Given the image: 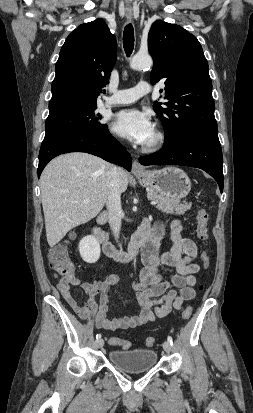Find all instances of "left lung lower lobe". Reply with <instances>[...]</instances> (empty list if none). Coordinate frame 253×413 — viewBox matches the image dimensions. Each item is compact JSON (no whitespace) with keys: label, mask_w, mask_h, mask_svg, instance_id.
Returning <instances> with one entry per match:
<instances>
[{"label":"left lung lower lobe","mask_w":253,"mask_h":413,"mask_svg":"<svg viewBox=\"0 0 253 413\" xmlns=\"http://www.w3.org/2000/svg\"><path fill=\"white\" fill-rule=\"evenodd\" d=\"M142 165H182L200 168L210 174L223 191V157L217 137L193 135L159 152L139 158Z\"/></svg>","instance_id":"1"}]
</instances>
